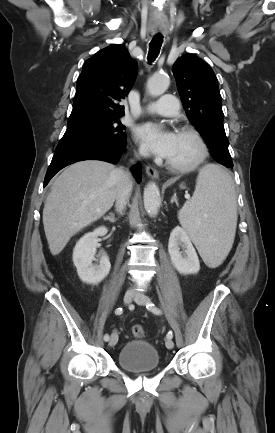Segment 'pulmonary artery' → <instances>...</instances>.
Returning <instances> with one entry per match:
<instances>
[{
    "mask_svg": "<svg viewBox=\"0 0 275 433\" xmlns=\"http://www.w3.org/2000/svg\"><path fill=\"white\" fill-rule=\"evenodd\" d=\"M146 110L162 116L170 117L178 114L179 102L175 96L166 94L163 95L158 101L149 105Z\"/></svg>",
    "mask_w": 275,
    "mask_h": 433,
    "instance_id": "1",
    "label": "pulmonary artery"
}]
</instances>
